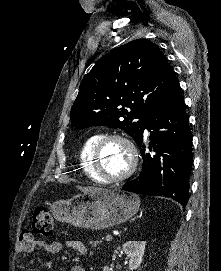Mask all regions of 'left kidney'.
I'll return each instance as SVG.
<instances>
[{
    "instance_id": "1",
    "label": "left kidney",
    "mask_w": 221,
    "mask_h": 271,
    "mask_svg": "<svg viewBox=\"0 0 221 271\" xmlns=\"http://www.w3.org/2000/svg\"><path fill=\"white\" fill-rule=\"evenodd\" d=\"M146 247V241H125L123 243V251L127 253L129 259V267L126 271H133L141 265ZM103 271H111L108 265H104Z\"/></svg>"
}]
</instances>
